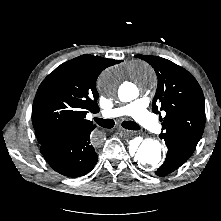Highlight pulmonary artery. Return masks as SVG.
Here are the masks:
<instances>
[{"instance_id":"pulmonary-artery-1","label":"pulmonary artery","mask_w":221,"mask_h":221,"mask_svg":"<svg viewBox=\"0 0 221 221\" xmlns=\"http://www.w3.org/2000/svg\"><path fill=\"white\" fill-rule=\"evenodd\" d=\"M148 103V98H140L122 107L104 110L101 112V116L105 119H111L130 115L151 132H160L162 125L154 115L147 111Z\"/></svg>"}]
</instances>
